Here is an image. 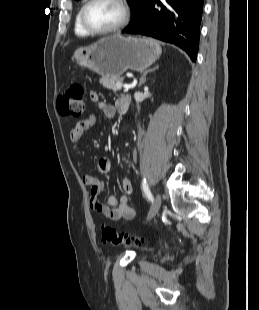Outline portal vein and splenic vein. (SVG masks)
<instances>
[{
    "label": "portal vein and splenic vein",
    "mask_w": 259,
    "mask_h": 310,
    "mask_svg": "<svg viewBox=\"0 0 259 310\" xmlns=\"http://www.w3.org/2000/svg\"><path fill=\"white\" fill-rule=\"evenodd\" d=\"M115 86L117 89H121L122 87H124V84L122 82H117Z\"/></svg>",
    "instance_id": "obj_1"
}]
</instances>
